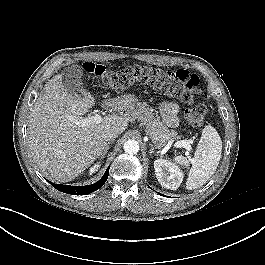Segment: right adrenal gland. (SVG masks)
Masks as SVG:
<instances>
[{
    "label": "right adrenal gland",
    "instance_id": "2a0ac1e0",
    "mask_svg": "<svg viewBox=\"0 0 265 265\" xmlns=\"http://www.w3.org/2000/svg\"><path fill=\"white\" fill-rule=\"evenodd\" d=\"M113 142V140H110L107 142L105 149L103 150V153L101 155V159H103L106 155V153L108 152L109 148H110V144Z\"/></svg>",
    "mask_w": 265,
    "mask_h": 265
}]
</instances>
